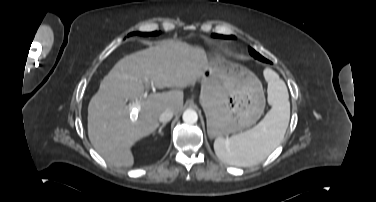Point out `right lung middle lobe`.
I'll list each match as a JSON object with an SVG mask.
<instances>
[{"label": "right lung middle lobe", "instance_id": "1", "mask_svg": "<svg viewBox=\"0 0 376 202\" xmlns=\"http://www.w3.org/2000/svg\"><path fill=\"white\" fill-rule=\"evenodd\" d=\"M141 35V36H149V35H158L159 33L157 32V31H155V32H151V33H141V32H133V33H131V34H129V36L130 35Z\"/></svg>", "mask_w": 376, "mask_h": 202}]
</instances>
